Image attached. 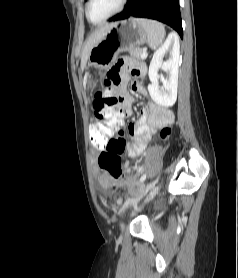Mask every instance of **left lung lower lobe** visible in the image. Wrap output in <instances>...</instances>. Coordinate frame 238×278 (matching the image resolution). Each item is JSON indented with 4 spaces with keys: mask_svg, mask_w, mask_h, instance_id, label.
Wrapping results in <instances>:
<instances>
[{
    "mask_svg": "<svg viewBox=\"0 0 238 278\" xmlns=\"http://www.w3.org/2000/svg\"><path fill=\"white\" fill-rule=\"evenodd\" d=\"M129 17L150 18L171 26L183 37L179 0H128L124 10L109 21Z\"/></svg>",
    "mask_w": 238,
    "mask_h": 278,
    "instance_id": "0a47b994",
    "label": "left lung lower lobe"
}]
</instances>
